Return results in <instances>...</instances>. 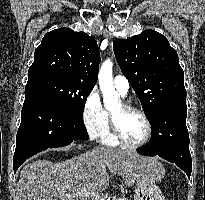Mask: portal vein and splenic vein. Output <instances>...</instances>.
Segmentation results:
<instances>
[{
  "label": "portal vein and splenic vein",
  "mask_w": 205,
  "mask_h": 200,
  "mask_svg": "<svg viewBox=\"0 0 205 200\" xmlns=\"http://www.w3.org/2000/svg\"><path fill=\"white\" fill-rule=\"evenodd\" d=\"M76 195L80 196V195H82V193L77 192ZM89 195L91 197V200H105L103 197H101L99 194H96V193H90Z\"/></svg>",
  "instance_id": "obj_1"
}]
</instances>
